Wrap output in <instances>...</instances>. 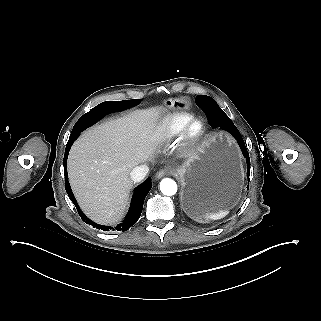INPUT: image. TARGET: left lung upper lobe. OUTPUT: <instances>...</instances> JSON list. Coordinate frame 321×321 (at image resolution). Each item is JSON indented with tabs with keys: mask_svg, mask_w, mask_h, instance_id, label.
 Wrapping results in <instances>:
<instances>
[{
	"mask_svg": "<svg viewBox=\"0 0 321 321\" xmlns=\"http://www.w3.org/2000/svg\"><path fill=\"white\" fill-rule=\"evenodd\" d=\"M196 104L204 111L207 106L217 104L214 99L205 95L196 97Z\"/></svg>",
	"mask_w": 321,
	"mask_h": 321,
	"instance_id": "left-lung-upper-lobe-1",
	"label": "left lung upper lobe"
}]
</instances>
